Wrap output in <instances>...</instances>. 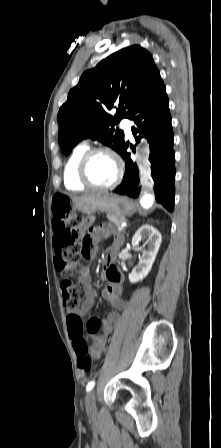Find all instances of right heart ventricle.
<instances>
[{"mask_svg":"<svg viewBox=\"0 0 221 448\" xmlns=\"http://www.w3.org/2000/svg\"><path fill=\"white\" fill-rule=\"evenodd\" d=\"M89 149L86 144L75 147L68 157L64 167V185L70 190H82L86 187L77 177V166L82 155Z\"/></svg>","mask_w":221,"mask_h":448,"instance_id":"obj_1","label":"right heart ventricle"}]
</instances>
